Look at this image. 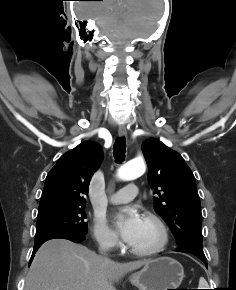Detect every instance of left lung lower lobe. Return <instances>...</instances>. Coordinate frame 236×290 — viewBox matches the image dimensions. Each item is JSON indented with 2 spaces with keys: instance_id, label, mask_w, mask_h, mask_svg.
Listing matches in <instances>:
<instances>
[{
  "instance_id": "0a47b994",
  "label": "left lung lower lobe",
  "mask_w": 236,
  "mask_h": 290,
  "mask_svg": "<svg viewBox=\"0 0 236 290\" xmlns=\"http://www.w3.org/2000/svg\"><path fill=\"white\" fill-rule=\"evenodd\" d=\"M176 251H178V252H183V253H189V252H186V251H184V250H181V249H177ZM199 258V257H198ZM199 259H201V258H199ZM205 264H206V267H207V260L206 259H201Z\"/></svg>"
}]
</instances>
